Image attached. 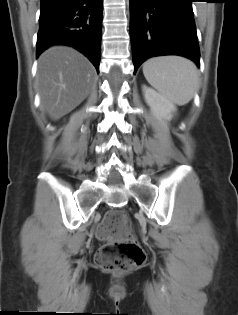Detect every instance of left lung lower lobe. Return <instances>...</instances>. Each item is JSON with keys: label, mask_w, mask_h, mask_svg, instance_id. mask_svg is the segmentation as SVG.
Segmentation results:
<instances>
[{"label": "left lung lower lobe", "mask_w": 238, "mask_h": 315, "mask_svg": "<svg viewBox=\"0 0 238 315\" xmlns=\"http://www.w3.org/2000/svg\"><path fill=\"white\" fill-rule=\"evenodd\" d=\"M193 0H130L134 74L148 58L180 55L200 65Z\"/></svg>", "instance_id": "left-lung-lower-lobe-1"}]
</instances>
